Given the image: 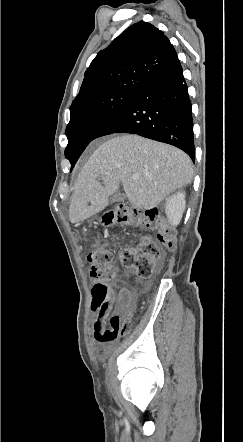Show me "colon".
Segmentation results:
<instances>
[{"label": "colon", "instance_id": "5ec220e1", "mask_svg": "<svg viewBox=\"0 0 243 442\" xmlns=\"http://www.w3.org/2000/svg\"><path fill=\"white\" fill-rule=\"evenodd\" d=\"M156 207L145 210L130 211L127 207L119 205L104 214L102 223L105 226L122 224L131 226H147L158 229L154 238L142 237L136 249L123 248L121 262L125 266L135 267L139 276L148 278L152 275L155 260L160 257V245L169 250L175 248V237L158 216ZM89 276L92 281V307L101 308L112 304L115 297L114 289L110 283L114 277V269L110 265V253L106 244L97 237L88 241ZM134 310L132 308L115 314L110 320V328L101 336L103 341H113L119 336L126 335L132 327Z\"/></svg>", "mask_w": 243, "mask_h": 442}]
</instances>
